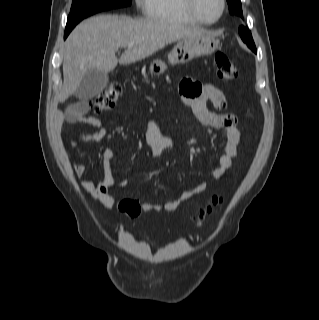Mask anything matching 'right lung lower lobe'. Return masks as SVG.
I'll use <instances>...</instances> for the list:
<instances>
[{
    "instance_id": "1",
    "label": "right lung lower lobe",
    "mask_w": 319,
    "mask_h": 320,
    "mask_svg": "<svg viewBox=\"0 0 319 320\" xmlns=\"http://www.w3.org/2000/svg\"><path fill=\"white\" fill-rule=\"evenodd\" d=\"M72 29L65 30L64 39L68 36Z\"/></svg>"
}]
</instances>
